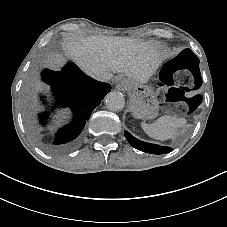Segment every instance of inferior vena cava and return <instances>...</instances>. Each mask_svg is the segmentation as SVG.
Here are the masks:
<instances>
[{
  "instance_id": "602c4592",
  "label": "inferior vena cava",
  "mask_w": 227,
  "mask_h": 227,
  "mask_svg": "<svg viewBox=\"0 0 227 227\" xmlns=\"http://www.w3.org/2000/svg\"><path fill=\"white\" fill-rule=\"evenodd\" d=\"M113 77V73L104 72L101 76L95 77L98 81L109 82Z\"/></svg>"
}]
</instances>
